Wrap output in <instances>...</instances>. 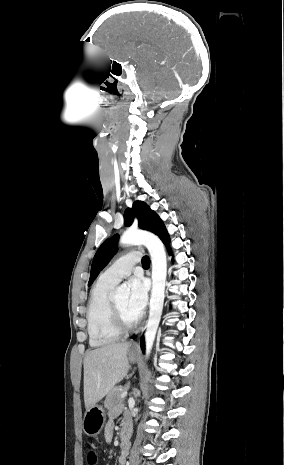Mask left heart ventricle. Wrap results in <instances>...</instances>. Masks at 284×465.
<instances>
[{
    "instance_id": "1",
    "label": "left heart ventricle",
    "mask_w": 284,
    "mask_h": 465,
    "mask_svg": "<svg viewBox=\"0 0 284 465\" xmlns=\"http://www.w3.org/2000/svg\"><path fill=\"white\" fill-rule=\"evenodd\" d=\"M116 305L118 306L122 316L126 319L125 324H132L137 317H135L128 309V298L120 297L115 300Z\"/></svg>"
}]
</instances>
